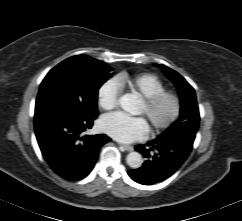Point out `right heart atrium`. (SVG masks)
<instances>
[{
  "instance_id": "obj_1",
  "label": "right heart atrium",
  "mask_w": 242,
  "mask_h": 221,
  "mask_svg": "<svg viewBox=\"0 0 242 221\" xmlns=\"http://www.w3.org/2000/svg\"><path fill=\"white\" fill-rule=\"evenodd\" d=\"M121 88L115 79L106 80L97 91V102L101 109L111 110L119 102Z\"/></svg>"
}]
</instances>
